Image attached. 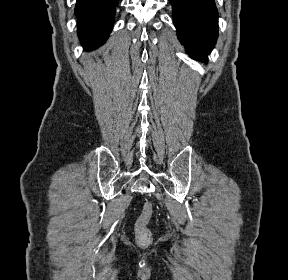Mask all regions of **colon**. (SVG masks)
<instances>
[{
  "label": "colon",
  "instance_id": "1",
  "mask_svg": "<svg viewBox=\"0 0 288 280\" xmlns=\"http://www.w3.org/2000/svg\"><path fill=\"white\" fill-rule=\"evenodd\" d=\"M153 214V204L147 201L143 208L140 216L138 217L135 224V236L136 240L140 245H148L151 242L152 234L148 227L150 219Z\"/></svg>",
  "mask_w": 288,
  "mask_h": 280
}]
</instances>
